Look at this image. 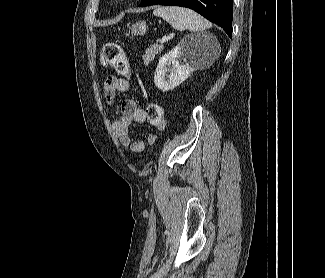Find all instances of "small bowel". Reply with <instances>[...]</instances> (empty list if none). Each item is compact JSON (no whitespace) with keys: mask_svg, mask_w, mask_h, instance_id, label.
Segmentation results:
<instances>
[{"mask_svg":"<svg viewBox=\"0 0 325 278\" xmlns=\"http://www.w3.org/2000/svg\"><path fill=\"white\" fill-rule=\"evenodd\" d=\"M128 88V80L114 76L108 77L104 83L106 104L111 107L114 104L116 95L126 92ZM145 120V111L139 108L133 99H125L121 103L120 113L113 125L124 147H130L135 152H142L146 145L151 147L155 145L156 139L153 135H149L145 141L132 140L130 136L131 124L133 122L144 123Z\"/></svg>","mask_w":325,"mask_h":278,"instance_id":"small-bowel-1","label":"small bowel"}]
</instances>
